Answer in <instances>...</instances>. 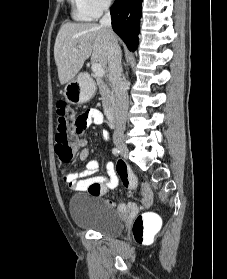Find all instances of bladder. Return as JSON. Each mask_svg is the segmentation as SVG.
I'll return each instance as SVG.
<instances>
[{
  "label": "bladder",
  "mask_w": 227,
  "mask_h": 279,
  "mask_svg": "<svg viewBox=\"0 0 227 279\" xmlns=\"http://www.w3.org/2000/svg\"><path fill=\"white\" fill-rule=\"evenodd\" d=\"M98 193L74 195L69 205L73 222L81 227L109 237H119L123 231V221L105 198Z\"/></svg>",
  "instance_id": "obj_1"
}]
</instances>
